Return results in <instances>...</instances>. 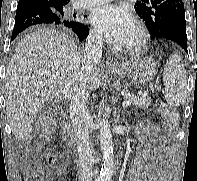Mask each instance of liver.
<instances>
[{"instance_id": "liver-1", "label": "liver", "mask_w": 197, "mask_h": 181, "mask_svg": "<svg viewBox=\"0 0 197 181\" xmlns=\"http://www.w3.org/2000/svg\"><path fill=\"white\" fill-rule=\"evenodd\" d=\"M83 57L69 35L53 29L40 28L19 42L5 76L6 113L18 139L30 137L46 100L70 99L81 79L88 92L99 88L97 65L82 70Z\"/></svg>"}]
</instances>
